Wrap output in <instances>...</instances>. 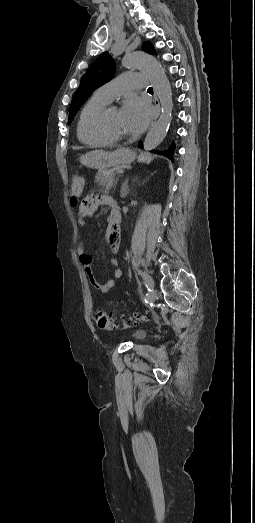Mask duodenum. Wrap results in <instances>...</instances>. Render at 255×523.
Wrapping results in <instances>:
<instances>
[{
  "label": "duodenum",
  "instance_id": "obj_1",
  "mask_svg": "<svg viewBox=\"0 0 255 523\" xmlns=\"http://www.w3.org/2000/svg\"><path fill=\"white\" fill-rule=\"evenodd\" d=\"M108 204L112 207L111 212L108 217V225L113 228H117L121 222V211L117 203L108 199Z\"/></svg>",
  "mask_w": 255,
  "mask_h": 523
}]
</instances>
